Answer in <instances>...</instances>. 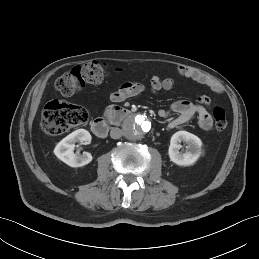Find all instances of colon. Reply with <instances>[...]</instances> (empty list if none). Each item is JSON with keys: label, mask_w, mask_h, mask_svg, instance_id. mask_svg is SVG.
<instances>
[{"label": "colon", "mask_w": 259, "mask_h": 259, "mask_svg": "<svg viewBox=\"0 0 259 259\" xmlns=\"http://www.w3.org/2000/svg\"><path fill=\"white\" fill-rule=\"evenodd\" d=\"M106 77V67L98 61L76 66L56 80V89L63 96L73 95L87 84H97ZM199 99V98H198ZM212 116L215 128L223 131L227 127L226 113L221 107H214ZM88 109L60 100L48 102L42 113V127L48 135H61L71 128L88 121Z\"/></svg>", "instance_id": "1"}]
</instances>
